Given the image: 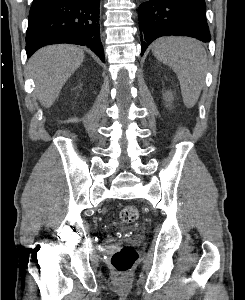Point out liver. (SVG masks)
Instances as JSON below:
<instances>
[{
    "instance_id": "6515ba94",
    "label": "liver",
    "mask_w": 245,
    "mask_h": 300,
    "mask_svg": "<svg viewBox=\"0 0 245 300\" xmlns=\"http://www.w3.org/2000/svg\"><path fill=\"white\" fill-rule=\"evenodd\" d=\"M83 59V50L73 45L47 46L30 58L28 69L35 81L37 98L43 107H51Z\"/></svg>"
}]
</instances>
